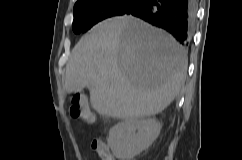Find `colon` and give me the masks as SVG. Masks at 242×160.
Here are the masks:
<instances>
[{"mask_svg": "<svg viewBox=\"0 0 242 160\" xmlns=\"http://www.w3.org/2000/svg\"><path fill=\"white\" fill-rule=\"evenodd\" d=\"M70 114L72 117L81 119L90 124H94L96 122L95 116L88 105L86 97L80 93L74 94L71 99ZM98 148H101V150L97 152L101 160H105L111 156L106 145L100 140H95L94 149L96 150Z\"/></svg>", "mask_w": 242, "mask_h": 160, "instance_id": "1", "label": "colon"}]
</instances>
